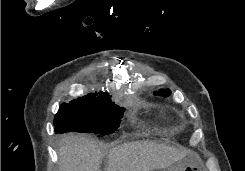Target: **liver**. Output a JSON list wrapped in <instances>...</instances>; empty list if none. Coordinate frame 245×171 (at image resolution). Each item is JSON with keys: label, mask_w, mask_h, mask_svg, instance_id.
I'll return each mask as SVG.
<instances>
[{"label": "liver", "mask_w": 245, "mask_h": 171, "mask_svg": "<svg viewBox=\"0 0 245 171\" xmlns=\"http://www.w3.org/2000/svg\"><path fill=\"white\" fill-rule=\"evenodd\" d=\"M60 171H100L105 156L96 142L83 134H65L59 144ZM186 150L137 141L109 150L107 171H153L184 159Z\"/></svg>", "instance_id": "6515ba94"}]
</instances>
